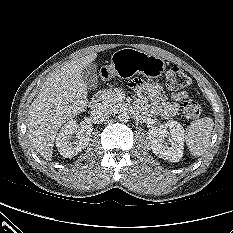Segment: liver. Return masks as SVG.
<instances>
[{"mask_svg": "<svg viewBox=\"0 0 233 233\" xmlns=\"http://www.w3.org/2000/svg\"><path fill=\"white\" fill-rule=\"evenodd\" d=\"M97 57L96 52L72 60L46 79L29 107L28 136L35 150L51 160L56 134L68 120L85 110L87 86L81 72Z\"/></svg>", "mask_w": 233, "mask_h": 233, "instance_id": "6515ba94", "label": "liver"}]
</instances>
